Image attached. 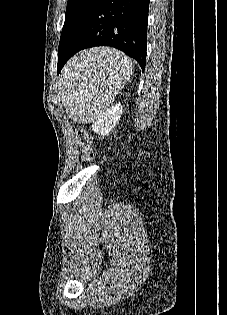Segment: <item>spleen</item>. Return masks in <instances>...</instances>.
Masks as SVG:
<instances>
[{"instance_id":"obj_1","label":"spleen","mask_w":227,"mask_h":315,"mask_svg":"<svg viewBox=\"0 0 227 315\" xmlns=\"http://www.w3.org/2000/svg\"><path fill=\"white\" fill-rule=\"evenodd\" d=\"M132 74V61L111 48L90 49L73 58L60 78V96L73 120L101 116Z\"/></svg>"}]
</instances>
